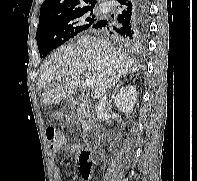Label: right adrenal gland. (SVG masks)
Returning a JSON list of instances; mask_svg holds the SVG:
<instances>
[{"instance_id": "right-adrenal-gland-1", "label": "right adrenal gland", "mask_w": 197, "mask_h": 181, "mask_svg": "<svg viewBox=\"0 0 197 181\" xmlns=\"http://www.w3.org/2000/svg\"><path fill=\"white\" fill-rule=\"evenodd\" d=\"M121 85H122V82L119 81L118 84L115 86V89H114V92H113V95H112V99L109 102L110 107H111L113 99L115 98V94H116L117 90L121 87Z\"/></svg>"}]
</instances>
